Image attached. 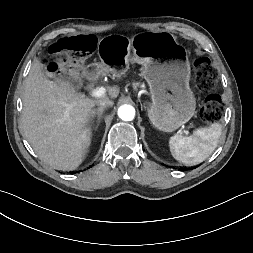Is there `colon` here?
I'll return each mask as SVG.
<instances>
[{"label":"colon","instance_id":"1","mask_svg":"<svg viewBox=\"0 0 253 253\" xmlns=\"http://www.w3.org/2000/svg\"><path fill=\"white\" fill-rule=\"evenodd\" d=\"M95 48V39L92 36H75L60 40L53 46V53L64 68H70L73 64L82 63ZM198 88L207 93L201 115L204 121L213 123L218 121L223 113V105L215 88L218 81L217 74L210 67L207 58H198L193 63ZM59 63L51 64V69L57 70Z\"/></svg>","mask_w":253,"mask_h":253}]
</instances>
